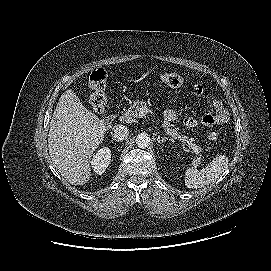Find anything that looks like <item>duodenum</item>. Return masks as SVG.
Masks as SVG:
<instances>
[{"label":"duodenum","mask_w":271,"mask_h":271,"mask_svg":"<svg viewBox=\"0 0 271 271\" xmlns=\"http://www.w3.org/2000/svg\"><path fill=\"white\" fill-rule=\"evenodd\" d=\"M115 118H116L115 114H110L102 118L101 123H100L101 128L104 130L108 129L113 123V121L115 120Z\"/></svg>","instance_id":"duodenum-1"}]
</instances>
